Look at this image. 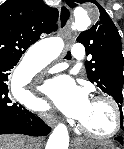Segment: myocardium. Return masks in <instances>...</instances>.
<instances>
[{
	"instance_id": "myocardium-1",
	"label": "myocardium",
	"mask_w": 124,
	"mask_h": 149,
	"mask_svg": "<svg viewBox=\"0 0 124 149\" xmlns=\"http://www.w3.org/2000/svg\"><path fill=\"white\" fill-rule=\"evenodd\" d=\"M92 101H104L111 106L114 114V120H115L113 130L110 133L104 134V135L96 134L91 130H89L80 120L78 121V124H77L78 128L84 134L96 140H108V139L114 138L120 132L122 123H123V113L118 103L113 98L107 95H97L93 97Z\"/></svg>"
}]
</instances>
